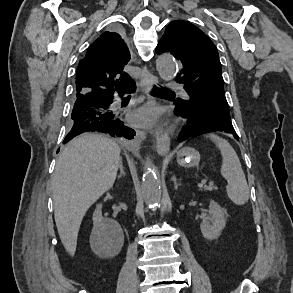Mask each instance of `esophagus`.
Here are the masks:
<instances>
[{
	"instance_id": "esophagus-1",
	"label": "esophagus",
	"mask_w": 293,
	"mask_h": 293,
	"mask_svg": "<svg viewBox=\"0 0 293 293\" xmlns=\"http://www.w3.org/2000/svg\"><path fill=\"white\" fill-rule=\"evenodd\" d=\"M158 84V79L156 76H154L148 69L147 67L143 68L142 75L140 78V86L142 91L145 94H149L151 89L153 88L154 85ZM156 150L158 154L160 155H166L169 152L170 148V140L169 137L165 134L161 133H156ZM137 138L139 140H144L146 138V133L144 131H137Z\"/></svg>"
}]
</instances>
